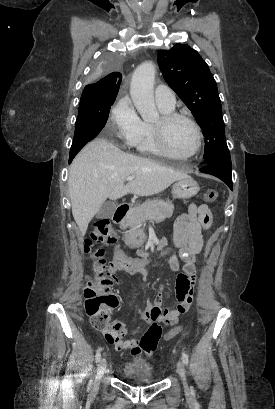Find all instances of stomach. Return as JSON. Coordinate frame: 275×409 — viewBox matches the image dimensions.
<instances>
[{"label":"stomach","instance_id":"obj_1","mask_svg":"<svg viewBox=\"0 0 275 409\" xmlns=\"http://www.w3.org/2000/svg\"><path fill=\"white\" fill-rule=\"evenodd\" d=\"M199 188L198 182L193 180L191 176H186V178H180L177 182H174L172 186V194L174 198H191L197 194Z\"/></svg>","mask_w":275,"mask_h":409}]
</instances>
